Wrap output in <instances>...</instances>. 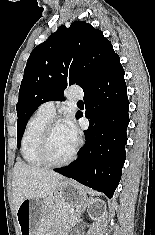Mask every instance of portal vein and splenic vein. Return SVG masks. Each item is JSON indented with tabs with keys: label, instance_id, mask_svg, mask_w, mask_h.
<instances>
[{
	"label": "portal vein and splenic vein",
	"instance_id": "1",
	"mask_svg": "<svg viewBox=\"0 0 155 235\" xmlns=\"http://www.w3.org/2000/svg\"><path fill=\"white\" fill-rule=\"evenodd\" d=\"M70 212H73L74 210L73 209H69Z\"/></svg>",
	"mask_w": 155,
	"mask_h": 235
}]
</instances>
